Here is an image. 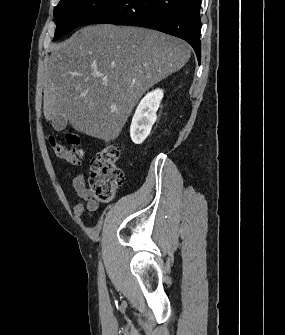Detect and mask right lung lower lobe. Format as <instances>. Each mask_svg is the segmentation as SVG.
I'll use <instances>...</instances> for the list:
<instances>
[{
	"mask_svg": "<svg viewBox=\"0 0 285 335\" xmlns=\"http://www.w3.org/2000/svg\"><path fill=\"white\" fill-rule=\"evenodd\" d=\"M201 0H117L86 24L148 27L187 41L201 60Z\"/></svg>",
	"mask_w": 285,
	"mask_h": 335,
	"instance_id": "right-lung-lower-lobe-1",
	"label": "right lung lower lobe"
}]
</instances>
